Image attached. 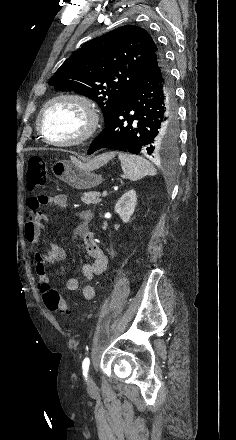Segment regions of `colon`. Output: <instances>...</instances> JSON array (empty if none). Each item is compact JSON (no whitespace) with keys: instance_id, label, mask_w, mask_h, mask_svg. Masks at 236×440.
<instances>
[{"instance_id":"colon-1","label":"colon","mask_w":236,"mask_h":440,"mask_svg":"<svg viewBox=\"0 0 236 440\" xmlns=\"http://www.w3.org/2000/svg\"><path fill=\"white\" fill-rule=\"evenodd\" d=\"M48 179V168L44 158L34 156L29 160L27 171V185L30 189L43 187ZM42 299L46 308L53 312L67 313L66 302L59 292L48 284L42 286Z\"/></svg>"}]
</instances>
